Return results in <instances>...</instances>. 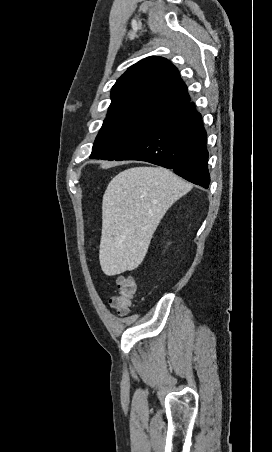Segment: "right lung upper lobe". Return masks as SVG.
Instances as JSON below:
<instances>
[{
    "label": "right lung upper lobe",
    "instance_id": "right-lung-upper-lobe-1",
    "mask_svg": "<svg viewBox=\"0 0 272 452\" xmlns=\"http://www.w3.org/2000/svg\"><path fill=\"white\" fill-rule=\"evenodd\" d=\"M108 116L126 112L171 113L190 102L177 68L162 57H147L131 66L114 84Z\"/></svg>",
    "mask_w": 272,
    "mask_h": 452
}]
</instances>
